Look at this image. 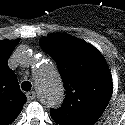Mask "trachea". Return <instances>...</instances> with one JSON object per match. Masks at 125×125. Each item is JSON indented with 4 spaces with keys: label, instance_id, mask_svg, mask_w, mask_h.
Returning <instances> with one entry per match:
<instances>
[{
    "label": "trachea",
    "instance_id": "3493384b",
    "mask_svg": "<svg viewBox=\"0 0 125 125\" xmlns=\"http://www.w3.org/2000/svg\"><path fill=\"white\" fill-rule=\"evenodd\" d=\"M31 87H32V84H31L29 81H24V82H22V84H21V88H22V90H24V91H30V90H31Z\"/></svg>",
    "mask_w": 125,
    "mask_h": 125
}]
</instances>
